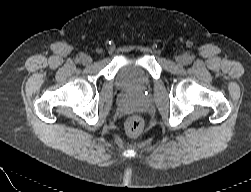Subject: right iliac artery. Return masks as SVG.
Here are the masks:
<instances>
[{"label":"right iliac artery","mask_w":251,"mask_h":192,"mask_svg":"<svg viewBox=\"0 0 251 192\" xmlns=\"http://www.w3.org/2000/svg\"><path fill=\"white\" fill-rule=\"evenodd\" d=\"M83 57H84V55L82 54V55L80 56V58L77 59V62H79Z\"/></svg>","instance_id":"1"}]
</instances>
